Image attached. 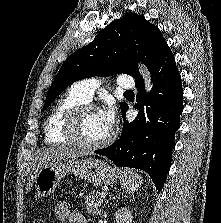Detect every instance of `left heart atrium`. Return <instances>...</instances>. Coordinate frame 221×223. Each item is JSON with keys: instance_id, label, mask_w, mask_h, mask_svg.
Masks as SVG:
<instances>
[{"instance_id": "left-heart-atrium-1", "label": "left heart atrium", "mask_w": 221, "mask_h": 223, "mask_svg": "<svg viewBox=\"0 0 221 223\" xmlns=\"http://www.w3.org/2000/svg\"><path fill=\"white\" fill-rule=\"evenodd\" d=\"M101 113L107 125L110 128H112L115 122V117H116L115 108L110 105L108 108L101 111Z\"/></svg>"}]
</instances>
